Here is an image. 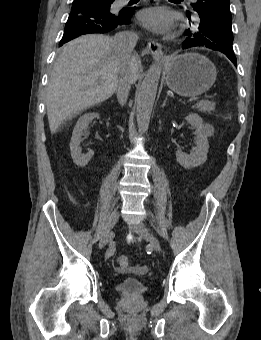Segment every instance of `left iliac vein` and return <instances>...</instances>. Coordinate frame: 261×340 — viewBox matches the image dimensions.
<instances>
[{
  "mask_svg": "<svg viewBox=\"0 0 261 340\" xmlns=\"http://www.w3.org/2000/svg\"><path fill=\"white\" fill-rule=\"evenodd\" d=\"M131 229L137 233L148 239L150 245L156 250L157 252L161 251L160 242L156 236H154L143 223H137L131 226Z\"/></svg>",
  "mask_w": 261,
  "mask_h": 340,
  "instance_id": "1",
  "label": "left iliac vein"
}]
</instances>
